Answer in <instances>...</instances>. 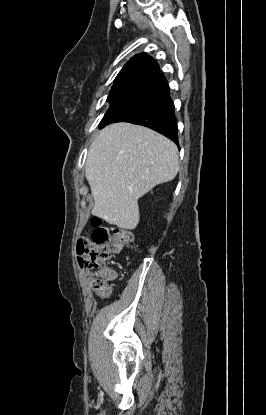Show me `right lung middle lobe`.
I'll use <instances>...</instances> for the list:
<instances>
[{"mask_svg":"<svg viewBox=\"0 0 266 415\" xmlns=\"http://www.w3.org/2000/svg\"><path fill=\"white\" fill-rule=\"evenodd\" d=\"M147 96L148 94L140 93V92H128V91L110 92L107 98V100L110 101V107L105 113L99 126L103 127L113 115L141 101Z\"/></svg>","mask_w":266,"mask_h":415,"instance_id":"right-lung-middle-lobe-1","label":"right lung middle lobe"}]
</instances>
